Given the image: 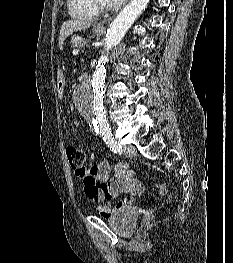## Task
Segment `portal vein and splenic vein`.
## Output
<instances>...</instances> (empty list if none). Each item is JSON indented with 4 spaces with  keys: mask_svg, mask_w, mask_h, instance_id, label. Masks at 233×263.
<instances>
[{
    "mask_svg": "<svg viewBox=\"0 0 233 263\" xmlns=\"http://www.w3.org/2000/svg\"><path fill=\"white\" fill-rule=\"evenodd\" d=\"M79 50H76L75 53H78Z\"/></svg>",
    "mask_w": 233,
    "mask_h": 263,
    "instance_id": "portal-vein-and-splenic-vein-1",
    "label": "portal vein and splenic vein"
}]
</instances>
